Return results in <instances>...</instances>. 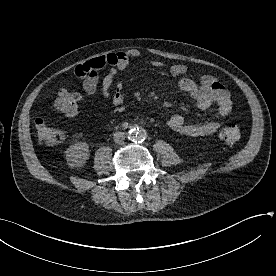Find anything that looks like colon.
<instances>
[{
	"instance_id": "obj_1",
	"label": "colon",
	"mask_w": 276,
	"mask_h": 276,
	"mask_svg": "<svg viewBox=\"0 0 276 276\" xmlns=\"http://www.w3.org/2000/svg\"><path fill=\"white\" fill-rule=\"evenodd\" d=\"M79 99L80 97L76 92L63 89L59 92L54 107L65 116H74L78 112ZM35 125L39 139L45 144H56L64 138V134L60 130L50 126L42 117L36 119ZM219 137L227 144H234L241 137L240 129L236 124L228 123L220 130Z\"/></svg>"
}]
</instances>
